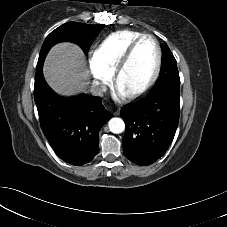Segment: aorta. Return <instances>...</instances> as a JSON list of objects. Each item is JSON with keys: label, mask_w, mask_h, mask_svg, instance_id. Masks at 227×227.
Segmentation results:
<instances>
[{"label": "aorta", "mask_w": 227, "mask_h": 227, "mask_svg": "<svg viewBox=\"0 0 227 227\" xmlns=\"http://www.w3.org/2000/svg\"><path fill=\"white\" fill-rule=\"evenodd\" d=\"M109 130L114 134H120L125 130V123L121 118H112L108 122Z\"/></svg>", "instance_id": "aorta-1"}]
</instances>
